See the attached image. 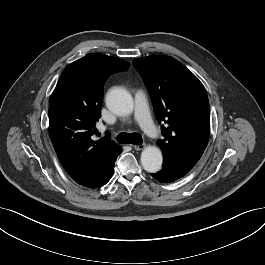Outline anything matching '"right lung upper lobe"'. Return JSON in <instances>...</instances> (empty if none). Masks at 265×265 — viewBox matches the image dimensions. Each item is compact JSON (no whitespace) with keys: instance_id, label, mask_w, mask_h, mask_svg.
<instances>
[{"instance_id":"1","label":"right lung upper lobe","mask_w":265,"mask_h":265,"mask_svg":"<svg viewBox=\"0 0 265 265\" xmlns=\"http://www.w3.org/2000/svg\"><path fill=\"white\" fill-rule=\"evenodd\" d=\"M129 66L124 60L90 53L63 71L50 100L49 134L70 176L86 171L100 157L119 148L109 136L94 141L92 135L101 117L106 79Z\"/></svg>"}]
</instances>
